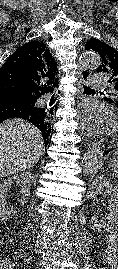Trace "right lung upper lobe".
Wrapping results in <instances>:
<instances>
[{"mask_svg":"<svg viewBox=\"0 0 118 269\" xmlns=\"http://www.w3.org/2000/svg\"><path fill=\"white\" fill-rule=\"evenodd\" d=\"M57 64L49 49L41 42L31 41L18 48L0 68V99L17 98L37 106L31 117L45 141L51 132L53 108L40 106L39 99L57 85Z\"/></svg>","mask_w":118,"mask_h":269,"instance_id":"right-lung-upper-lobe-1","label":"right lung upper lobe"}]
</instances>
